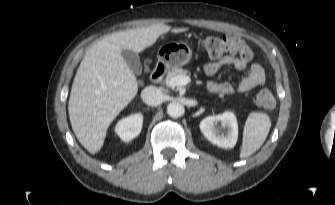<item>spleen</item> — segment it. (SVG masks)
<instances>
[{
  "mask_svg": "<svg viewBox=\"0 0 335 205\" xmlns=\"http://www.w3.org/2000/svg\"><path fill=\"white\" fill-rule=\"evenodd\" d=\"M271 127L269 116L261 112L249 114L243 131L240 158H247L255 153L265 142Z\"/></svg>",
  "mask_w": 335,
  "mask_h": 205,
  "instance_id": "3e777b00",
  "label": "spleen"
}]
</instances>
